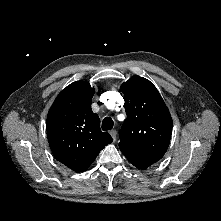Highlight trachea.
<instances>
[{
  "mask_svg": "<svg viewBox=\"0 0 221 221\" xmlns=\"http://www.w3.org/2000/svg\"><path fill=\"white\" fill-rule=\"evenodd\" d=\"M113 125H114V122H113L112 118L105 117L102 122V130L103 131L111 130L113 128Z\"/></svg>",
  "mask_w": 221,
  "mask_h": 221,
  "instance_id": "trachea-1",
  "label": "trachea"
}]
</instances>
